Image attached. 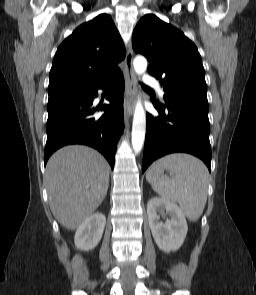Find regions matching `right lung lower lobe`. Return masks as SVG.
<instances>
[{
	"label": "right lung lower lobe",
	"mask_w": 256,
	"mask_h": 295,
	"mask_svg": "<svg viewBox=\"0 0 256 295\" xmlns=\"http://www.w3.org/2000/svg\"><path fill=\"white\" fill-rule=\"evenodd\" d=\"M98 89L108 92L109 105L105 113L93 117L100 107H93ZM124 77L122 72L96 85L49 96L47 142L44 153L46 164L50 155L68 144H84L100 151L114 168L117 142L124 127Z\"/></svg>",
	"instance_id": "1"
}]
</instances>
